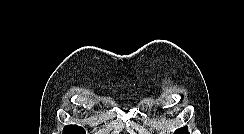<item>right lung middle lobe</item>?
I'll use <instances>...</instances> for the list:
<instances>
[{"label":"right lung middle lobe","mask_w":244,"mask_h":134,"mask_svg":"<svg viewBox=\"0 0 244 134\" xmlns=\"http://www.w3.org/2000/svg\"><path fill=\"white\" fill-rule=\"evenodd\" d=\"M63 134H85V131L77 125H67L63 129Z\"/></svg>","instance_id":"obj_1"}]
</instances>
